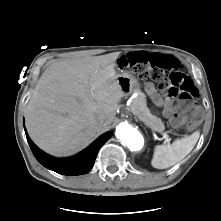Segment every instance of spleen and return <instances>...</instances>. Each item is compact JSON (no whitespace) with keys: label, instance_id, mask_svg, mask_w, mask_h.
<instances>
[{"label":"spleen","instance_id":"3e777b00","mask_svg":"<svg viewBox=\"0 0 221 221\" xmlns=\"http://www.w3.org/2000/svg\"><path fill=\"white\" fill-rule=\"evenodd\" d=\"M200 132L175 140L171 145H157L151 164L157 169L169 168L183 160L194 148Z\"/></svg>","mask_w":221,"mask_h":221}]
</instances>
